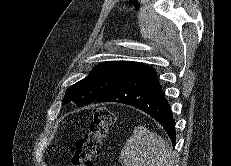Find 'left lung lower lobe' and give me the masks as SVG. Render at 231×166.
<instances>
[{"label": "left lung lower lobe", "mask_w": 231, "mask_h": 166, "mask_svg": "<svg viewBox=\"0 0 231 166\" xmlns=\"http://www.w3.org/2000/svg\"><path fill=\"white\" fill-rule=\"evenodd\" d=\"M96 101L123 103L142 110L162 125L175 144V121L162 86L152 67H145L137 75Z\"/></svg>", "instance_id": "left-lung-lower-lobe-1"}]
</instances>
